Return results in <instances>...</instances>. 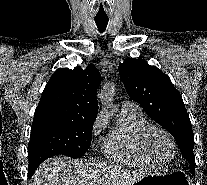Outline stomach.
Instances as JSON below:
<instances>
[{
	"instance_id": "1",
	"label": "stomach",
	"mask_w": 207,
	"mask_h": 185,
	"mask_svg": "<svg viewBox=\"0 0 207 185\" xmlns=\"http://www.w3.org/2000/svg\"><path fill=\"white\" fill-rule=\"evenodd\" d=\"M135 185H189L187 176L182 171L146 175Z\"/></svg>"
}]
</instances>
